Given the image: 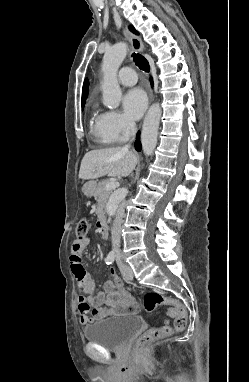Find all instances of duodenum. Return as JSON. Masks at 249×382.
I'll return each instance as SVG.
<instances>
[{"label": "duodenum", "instance_id": "duodenum-1", "mask_svg": "<svg viewBox=\"0 0 249 382\" xmlns=\"http://www.w3.org/2000/svg\"><path fill=\"white\" fill-rule=\"evenodd\" d=\"M97 226H98V230H99L100 234L102 235V237L108 238L109 230H108V224H107L106 220L104 218H101L98 221Z\"/></svg>", "mask_w": 249, "mask_h": 382}]
</instances>
